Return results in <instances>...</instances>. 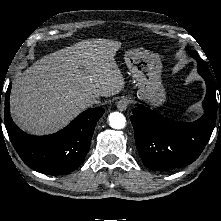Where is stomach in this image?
Here are the masks:
<instances>
[{"mask_svg":"<svg viewBox=\"0 0 221 221\" xmlns=\"http://www.w3.org/2000/svg\"><path fill=\"white\" fill-rule=\"evenodd\" d=\"M124 59L130 76L136 82L137 98L152 107L162 105L166 94L161 81L159 56L147 50L133 49L125 53Z\"/></svg>","mask_w":221,"mask_h":221,"instance_id":"1","label":"stomach"}]
</instances>
